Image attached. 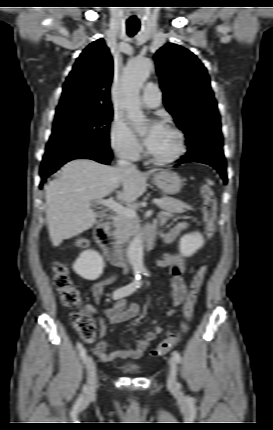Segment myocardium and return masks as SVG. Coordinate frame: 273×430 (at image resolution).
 <instances>
[{
    "label": "myocardium",
    "instance_id": "1",
    "mask_svg": "<svg viewBox=\"0 0 273 430\" xmlns=\"http://www.w3.org/2000/svg\"><path fill=\"white\" fill-rule=\"evenodd\" d=\"M163 128L169 130L170 132H172L176 135L177 140H178V146H177L176 152L172 156L167 157V158L156 157L150 152V150H148L147 156H148L149 160L151 162L157 164V165L172 164V163L178 161L186 153V150H187L186 137L180 128H178L177 126L172 125V124H165L163 126Z\"/></svg>",
    "mask_w": 273,
    "mask_h": 430
}]
</instances>
